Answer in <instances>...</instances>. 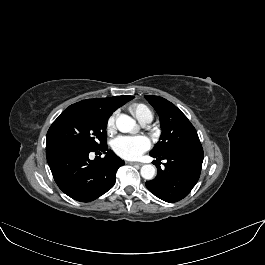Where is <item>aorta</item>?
Instances as JSON below:
<instances>
[{
    "mask_svg": "<svg viewBox=\"0 0 265 265\" xmlns=\"http://www.w3.org/2000/svg\"><path fill=\"white\" fill-rule=\"evenodd\" d=\"M116 126L123 133H130L138 129L136 121L128 115L122 114L116 120ZM155 167L151 164H146L141 167V176L144 179L151 180L155 176Z\"/></svg>",
    "mask_w": 265,
    "mask_h": 265,
    "instance_id": "762f6f07",
    "label": "aorta"
}]
</instances>
